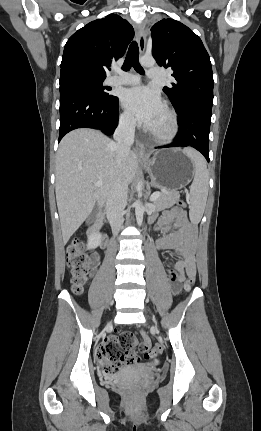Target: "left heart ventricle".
I'll return each mask as SVG.
<instances>
[{
  "label": "left heart ventricle",
  "instance_id": "b2bd125f",
  "mask_svg": "<svg viewBox=\"0 0 261 431\" xmlns=\"http://www.w3.org/2000/svg\"><path fill=\"white\" fill-rule=\"evenodd\" d=\"M168 127H169V121L165 112L163 111V113L159 116V118L157 119L155 124L151 127V129H154L159 132H164L168 129Z\"/></svg>",
  "mask_w": 261,
  "mask_h": 431
}]
</instances>
